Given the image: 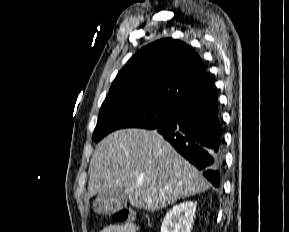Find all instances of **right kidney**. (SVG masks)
Segmentation results:
<instances>
[{
    "label": "right kidney",
    "mask_w": 289,
    "mask_h": 232,
    "mask_svg": "<svg viewBox=\"0 0 289 232\" xmlns=\"http://www.w3.org/2000/svg\"><path fill=\"white\" fill-rule=\"evenodd\" d=\"M196 202L186 201L170 209L162 222L161 232H191Z\"/></svg>",
    "instance_id": "ca27d5eb"
}]
</instances>
